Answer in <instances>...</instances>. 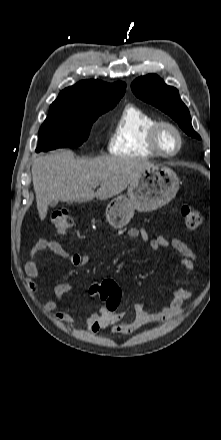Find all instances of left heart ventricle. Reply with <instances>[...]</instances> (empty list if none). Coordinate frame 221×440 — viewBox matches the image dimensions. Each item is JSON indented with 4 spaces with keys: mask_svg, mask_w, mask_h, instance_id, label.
I'll return each instance as SVG.
<instances>
[{
    "mask_svg": "<svg viewBox=\"0 0 221 440\" xmlns=\"http://www.w3.org/2000/svg\"><path fill=\"white\" fill-rule=\"evenodd\" d=\"M160 145L164 151L171 152L177 146V138L175 133L169 129L164 128L160 134Z\"/></svg>",
    "mask_w": 221,
    "mask_h": 440,
    "instance_id": "b2bd125f",
    "label": "left heart ventricle"
}]
</instances>
